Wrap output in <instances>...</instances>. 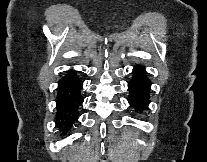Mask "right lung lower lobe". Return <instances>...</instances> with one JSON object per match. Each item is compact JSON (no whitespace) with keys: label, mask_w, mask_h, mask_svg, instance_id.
Returning a JSON list of instances; mask_svg holds the SVG:
<instances>
[{"label":"right lung lower lobe","mask_w":207,"mask_h":162,"mask_svg":"<svg viewBox=\"0 0 207 162\" xmlns=\"http://www.w3.org/2000/svg\"><path fill=\"white\" fill-rule=\"evenodd\" d=\"M82 82L72 73L65 75L58 85L57 120L61 130L70 128L78 118V107L83 98L80 94Z\"/></svg>","instance_id":"obj_1"}]
</instances>
